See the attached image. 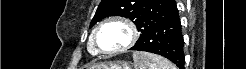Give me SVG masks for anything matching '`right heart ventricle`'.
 <instances>
[{
  "mask_svg": "<svg viewBox=\"0 0 246 69\" xmlns=\"http://www.w3.org/2000/svg\"><path fill=\"white\" fill-rule=\"evenodd\" d=\"M88 48H89L90 51H93V50L95 49L93 38H91V39L89 40Z\"/></svg>",
  "mask_w": 246,
  "mask_h": 69,
  "instance_id": "right-heart-ventricle-1",
  "label": "right heart ventricle"
}]
</instances>
